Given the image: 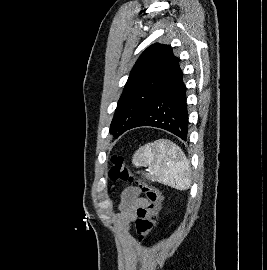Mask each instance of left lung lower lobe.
<instances>
[{
  "label": "left lung lower lobe",
  "mask_w": 267,
  "mask_h": 270,
  "mask_svg": "<svg viewBox=\"0 0 267 270\" xmlns=\"http://www.w3.org/2000/svg\"><path fill=\"white\" fill-rule=\"evenodd\" d=\"M185 92L178 62L165 87L129 129L140 126L158 127L186 141L189 122Z\"/></svg>",
  "instance_id": "1"
}]
</instances>
